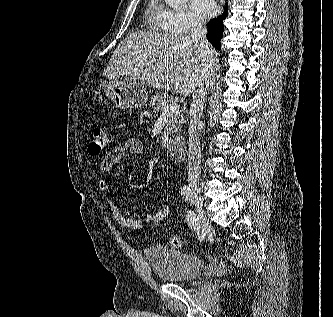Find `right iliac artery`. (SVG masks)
Here are the masks:
<instances>
[{"instance_id": "right-iliac-artery-1", "label": "right iliac artery", "mask_w": 333, "mask_h": 317, "mask_svg": "<svg viewBox=\"0 0 333 317\" xmlns=\"http://www.w3.org/2000/svg\"><path fill=\"white\" fill-rule=\"evenodd\" d=\"M189 194H190L189 187L183 186L181 188V195L186 201L188 200ZM187 223L191 228H193L196 231L199 240H203L205 238V234L202 231H200L198 218L196 217V214L194 212L187 211Z\"/></svg>"}]
</instances>
